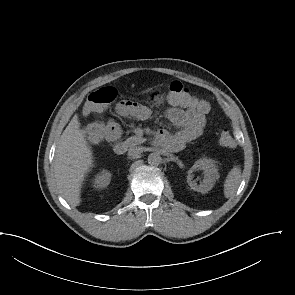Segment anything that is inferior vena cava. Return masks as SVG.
Segmentation results:
<instances>
[{
  "instance_id": "1",
  "label": "inferior vena cava",
  "mask_w": 295,
  "mask_h": 295,
  "mask_svg": "<svg viewBox=\"0 0 295 295\" xmlns=\"http://www.w3.org/2000/svg\"><path fill=\"white\" fill-rule=\"evenodd\" d=\"M144 151L143 147H132L128 151V155L131 157H139Z\"/></svg>"
}]
</instances>
